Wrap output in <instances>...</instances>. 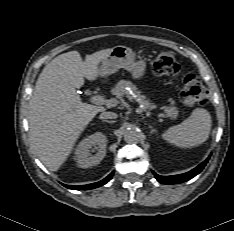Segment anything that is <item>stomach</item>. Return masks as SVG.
Instances as JSON below:
<instances>
[{
	"instance_id": "obj_1",
	"label": "stomach",
	"mask_w": 234,
	"mask_h": 231,
	"mask_svg": "<svg viewBox=\"0 0 234 231\" xmlns=\"http://www.w3.org/2000/svg\"><path fill=\"white\" fill-rule=\"evenodd\" d=\"M125 69L131 73L134 79H141L146 70V63L143 60L136 61L133 50L126 46H116L112 49L99 68L100 76H109L119 69Z\"/></svg>"
}]
</instances>
